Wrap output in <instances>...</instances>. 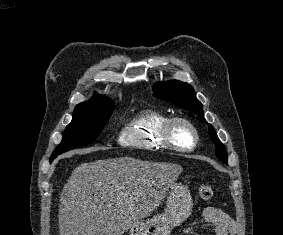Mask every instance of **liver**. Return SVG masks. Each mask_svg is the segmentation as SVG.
Masks as SVG:
<instances>
[{"mask_svg":"<svg viewBox=\"0 0 283 235\" xmlns=\"http://www.w3.org/2000/svg\"><path fill=\"white\" fill-rule=\"evenodd\" d=\"M181 165L121 157L83 163L65 184L60 235H122L157 209Z\"/></svg>","mask_w":283,"mask_h":235,"instance_id":"liver-1","label":"liver"}]
</instances>
